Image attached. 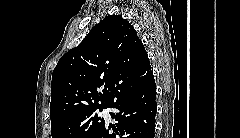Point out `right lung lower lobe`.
<instances>
[{"label": "right lung lower lobe", "mask_w": 240, "mask_h": 138, "mask_svg": "<svg viewBox=\"0 0 240 138\" xmlns=\"http://www.w3.org/2000/svg\"><path fill=\"white\" fill-rule=\"evenodd\" d=\"M108 108L120 111L110 113L117 123L115 126L104 124L94 138H154L157 104L153 74L138 86L119 94Z\"/></svg>", "instance_id": "98d812e1"}]
</instances>
